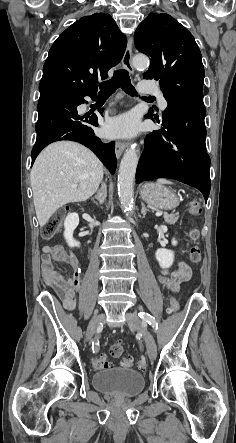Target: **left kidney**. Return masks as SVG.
I'll return each instance as SVG.
<instances>
[{"label":"left kidney","mask_w":236,"mask_h":443,"mask_svg":"<svg viewBox=\"0 0 236 443\" xmlns=\"http://www.w3.org/2000/svg\"><path fill=\"white\" fill-rule=\"evenodd\" d=\"M172 245H177V241L174 238L172 239ZM155 257L161 268H169L174 262V252L165 248L157 249Z\"/></svg>","instance_id":"5707ae66"}]
</instances>
